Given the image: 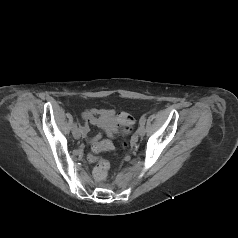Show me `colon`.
Masks as SVG:
<instances>
[{"label":"colon","instance_id":"colon-1","mask_svg":"<svg viewBox=\"0 0 238 238\" xmlns=\"http://www.w3.org/2000/svg\"><path fill=\"white\" fill-rule=\"evenodd\" d=\"M115 123L118 125V129L120 131H129L132 124L134 123V119L132 116L127 114L126 112L119 113L115 118ZM111 148L105 145H101L99 147V151L109 150ZM90 160L95 162V167L93 170V176L97 181L104 180L108 175L109 163L106 160H103L97 156H90Z\"/></svg>","mask_w":238,"mask_h":238}]
</instances>
